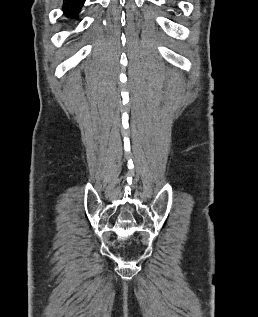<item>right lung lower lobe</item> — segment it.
Segmentation results:
<instances>
[{
  "label": "right lung lower lobe",
  "instance_id": "obj_1",
  "mask_svg": "<svg viewBox=\"0 0 258 317\" xmlns=\"http://www.w3.org/2000/svg\"><path fill=\"white\" fill-rule=\"evenodd\" d=\"M63 11L65 16L69 18H77L85 0H64Z\"/></svg>",
  "mask_w": 258,
  "mask_h": 317
}]
</instances>
